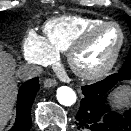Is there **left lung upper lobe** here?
<instances>
[{"mask_svg": "<svg viewBox=\"0 0 131 131\" xmlns=\"http://www.w3.org/2000/svg\"><path fill=\"white\" fill-rule=\"evenodd\" d=\"M126 20H127L128 26L131 30V18L126 17ZM127 68H131V48H130V52L128 54V57L120 70L127 69Z\"/></svg>", "mask_w": 131, "mask_h": 131, "instance_id": "obj_1", "label": "left lung upper lobe"}]
</instances>
